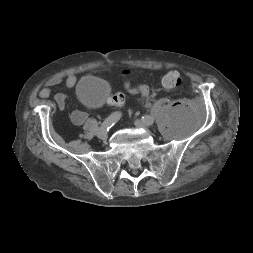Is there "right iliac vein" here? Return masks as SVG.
<instances>
[{"label":"right iliac vein","instance_id":"right-iliac-vein-1","mask_svg":"<svg viewBox=\"0 0 253 253\" xmlns=\"http://www.w3.org/2000/svg\"><path fill=\"white\" fill-rule=\"evenodd\" d=\"M97 137L101 140H105L108 137V131L106 128H100L98 133H97Z\"/></svg>","mask_w":253,"mask_h":253}]
</instances>
